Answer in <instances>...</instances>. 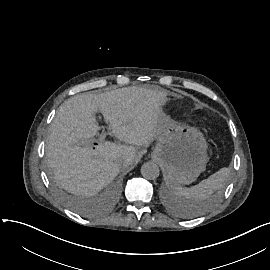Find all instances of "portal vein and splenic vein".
<instances>
[{
  "mask_svg": "<svg viewBox=\"0 0 270 270\" xmlns=\"http://www.w3.org/2000/svg\"><path fill=\"white\" fill-rule=\"evenodd\" d=\"M106 136H107V133H106V132H103V133L98 137V143H99L100 145H103V144L105 143Z\"/></svg>",
  "mask_w": 270,
  "mask_h": 270,
  "instance_id": "1",
  "label": "portal vein and splenic vein"
}]
</instances>
